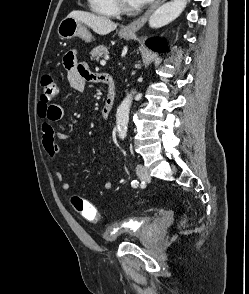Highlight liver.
Segmentation results:
<instances>
[{
    "label": "liver",
    "instance_id": "1",
    "mask_svg": "<svg viewBox=\"0 0 249 294\" xmlns=\"http://www.w3.org/2000/svg\"><path fill=\"white\" fill-rule=\"evenodd\" d=\"M68 17L74 18L81 23L87 25L95 33L99 35H107L117 28V24L107 17L95 15L93 13L75 10L72 11Z\"/></svg>",
    "mask_w": 249,
    "mask_h": 294
}]
</instances>
